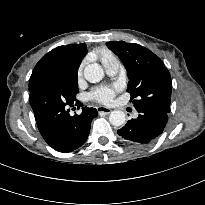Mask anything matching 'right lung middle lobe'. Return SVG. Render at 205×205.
<instances>
[{"label": "right lung middle lobe", "instance_id": "obj_1", "mask_svg": "<svg viewBox=\"0 0 205 205\" xmlns=\"http://www.w3.org/2000/svg\"><path fill=\"white\" fill-rule=\"evenodd\" d=\"M66 78L70 82L72 88L77 92L78 91L77 71L69 74Z\"/></svg>", "mask_w": 205, "mask_h": 205}]
</instances>
